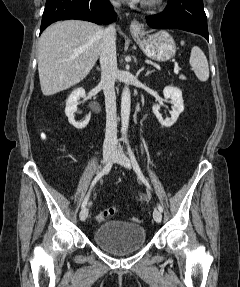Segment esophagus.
I'll list each match as a JSON object with an SVG mask.
<instances>
[{
	"mask_svg": "<svg viewBox=\"0 0 240 287\" xmlns=\"http://www.w3.org/2000/svg\"><path fill=\"white\" fill-rule=\"evenodd\" d=\"M143 26L140 22L133 20L130 24V32L132 35H140L142 33Z\"/></svg>",
	"mask_w": 240,
	"mask_h": 287,
	"instance_id": "obj_1",
	"label": "esophagus"
}]
</instances>
